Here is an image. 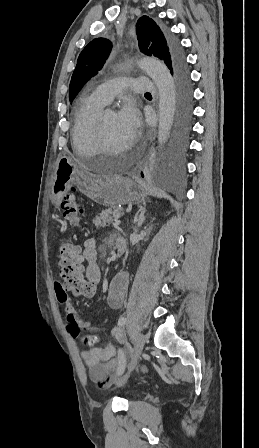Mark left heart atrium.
Wrapping results in <instances>:
<instances>
[{"instance_id": "1", "label": "left heart atrium", "mask_w": 259, "mask_h": 448, "mask_svg": "<svg viewBox=\"0 0 259 448\" xmlns=\"http://www.w3.org/2000/svg\"><path fill=\"white\" fill-rule=\"evenodd\" d=\"M117 118L130 138H135L138 135L141 127V116L133 103H125L117 113Z\"/></svg>"}]
</instances>
